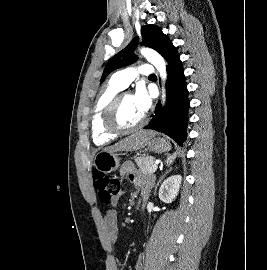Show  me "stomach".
Listing matches in <instances>:
<instances>
[{"label": "stomach", "mask_w": 267, "mask_h": 270, "mask_svg": "<svg viewBox=\"0 0 267 270\" xmlns=\"http://www.w3.org/2000/svg\"><path fill=\"white\" fill-rule=\"evenodd\" d=\"M146 146L154 153L169 151L171 148V145L167 140L163 138H156L154 135L148 138ZM121 155V153L116 151L109 152L102 150L96 154L94 158V166L101 172L111 173L120 166Z\"/></svg>", "instance_id": "stomach-1"}]
</instances>
